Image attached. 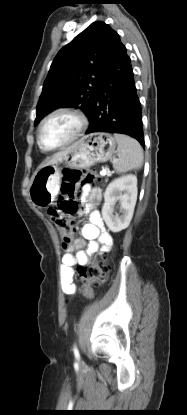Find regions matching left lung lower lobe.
I'll list each match as a JSON object with an SVG mask.
<instances>
[{
    "mask_svg": "<svg viewBox=\"0 0 187 415\" xmlns=\"http://www.w3.org/2000/svg\"><path fill=\"white\" fill-rule=\"evenodd\" d=\"M86 134L109 132L130 135L144 148L141 104L125 46L117 37L95 92L93 114Z\"/></svg>",
    "mask_w": 187,
    "mask_h": 415,
    "instance_id": "obj_1",
    "label": "left lung lower lobe"
}]
</instances>
